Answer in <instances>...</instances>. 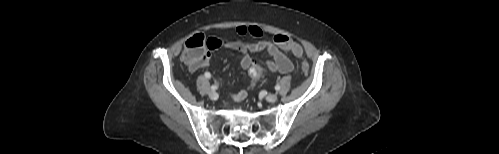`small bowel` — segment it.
<instances>
[{"label":"small bowel","instance_id":"small-bowel-1","mask_svg":"<svg viewBox=\"0 0 499 154\" xmlns=\"http://www.w3.org/2000/svg\"><path fill=\"white\" fill-rule=\"evenodd\" d=\"M236 32L239 35H250L255 38H259L262 35V31L257 26H238ZM209 49H232L239 53L241 65L244 69H250L253 65V61L250 58V53L253 52H263L272 57V61L266 63V67L269 74H273L276 71L287 74L293 70V64L291 60L277 47L276 44L268 40H257L252 42L243 43L236 40H223L219 38H209ZM210 57V55H209ZM209 57L202 63V66L207 65ZM199 67L191 68L192 71L197 70ZM247 96L245 90H240L239 92L232 95V98L236 101L244 100Z\"/></svg>","mask_w":499,"mask_h":154}]
</instances>
